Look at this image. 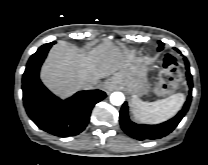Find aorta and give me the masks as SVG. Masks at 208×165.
Listing matches in <instances>:
<instances>
[{
  "instance_id": "aorta-1",
  "label": "aorta",
  "mask_w": 208,
  "mask_h": 165,
  "mask_svg": "<svg viewBox=\"0 0 208 165\" xmlns=\"http://www.w3.org/2000/svg\"><path fill=\"white\" fill-rule=\"evenodd\" d=\"M125 97L121 92H113L110 96V102L115 106H120L123 104Z\"/></svg>"
}]
</instances>
